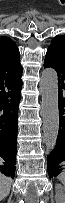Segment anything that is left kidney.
<instances>
[{
	"label": "left kidney",
	"mask_w": 65,
	"mask_h": 203,
	"mask_svg": "<svg viewBox=\"0 0 65 203\" xmlns=\"http://www.w3.org/2000/svg\"><path fill=\"white\" fill-rule=\"evenodd\" d=\"M55 190H56L55 195L56 203H65V188L60 184H56Z\"/></svg>",
	"instance_id": "5707ae66"
}]
</instances>
